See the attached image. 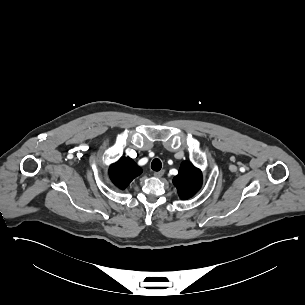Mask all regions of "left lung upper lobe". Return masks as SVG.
<instances>
[{"label":"left lung upper lobe","mask_w":305,"mask_h":305,"mask_svg":"<svg viewBox=\"0 0 305 305\" xmlns=\"http://www.w3.org/2000/svg\"><path fill=\"white\" fill-rule=\"evenodd\" d=\"M173 184L178 190L181 199H189L194 196L202 186V173L190 162L181 164L179 173L173 179Z\"/></svg>","instance_id":"1"}]
</instances>
